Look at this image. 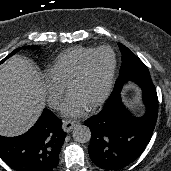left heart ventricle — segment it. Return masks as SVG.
I'll return each mask as SVG.
<instances>
[{"instance_id":"1","label":"left heart ventricle","mask_w":171,"mask_h":171,"mask_svg":"<svg viewBox=\"0 0 171 171\" xmlns=\"http://www.w3.org/2000/svg\"><path fill=\"white\" fill-rule=\"evenodd\" d=\"M112 67V55L108 51L96 54L87 65L82 77L69 92L78 95L91 107L103 94Z\"/></svg>"}]
</instances>
